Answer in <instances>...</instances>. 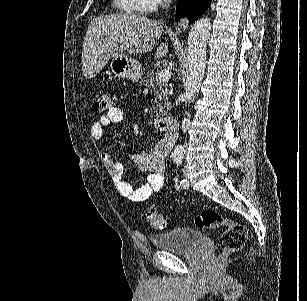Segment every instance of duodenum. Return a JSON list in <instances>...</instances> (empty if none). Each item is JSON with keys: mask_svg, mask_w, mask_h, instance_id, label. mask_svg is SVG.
Returning <instances> with one entry per match:
<instances>
[{"mask_svg": "<svg viewBox=\"0 0 307 301\" xmlns=\"http://www.w3.org/2000/svg\"><path fill=\"white\" fill-rule=\"evenodd\" d=\"M156 126L161 131L172 133L177 129L178 122L173 116H164L156 120Z\"/></svg>", "mask_w": 307, "mask_h": 301, "instance_id": "duodenum-1", "label": "duodenum"}]
</instances>
